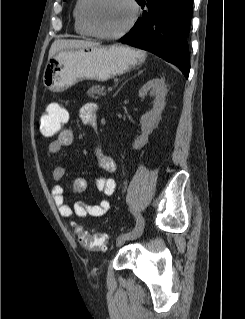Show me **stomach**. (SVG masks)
Listing matches in <instances>:
<instances>
[{
    "label": "stomach",
    "mask_w": 245,
    "mask_h": 319,
    "mask_svg": "<svg viewBox=\"0 0 245 319\" xmlns=\"http://www.w3.org/2000/svg\"><path fill=\"white\" fill-rule=\"evenodd\" d=\"M146 54L123 45L65 49L48 59L43 84L52 92H63L79 81H105L141 64Z\"/></svg>",
    "instance_id": "0dacf381"
}]
</instances>
